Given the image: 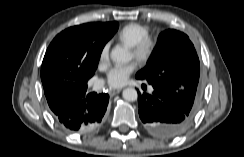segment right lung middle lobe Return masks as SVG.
<instances>
[{
	"instance_id": "dd1d6c3e",
	"label": "right lung middle lobe",
	"mask_w": 244,
	"mask_h": 157,
	"mask_svg": "<svg viewBox=\"0 0 244 157\" xmlns=\"http://www.w3.org/2000/svg\"><path fill=\"white\" fill-rule=\"evenodd\" d=\"M89 37L90 34L79 26L66 29L62 36L48 47L43 59L44 65L41 67V75L53 82L59 83L62 81L64 74L69 72L72 65V56L68 55L71 48L76 47L82 40L89 39ZM102 49L103 46L92 58V74L97 68Z\"/></svg>"
}]
</instances>
